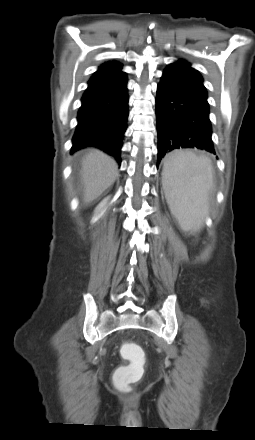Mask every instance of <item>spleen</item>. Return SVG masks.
<instances>
[{"label": "spleen", "mask_w": 255, "mask_h": 440, "mask_svg": "<svg viewBox=\"0 0 255 440\" xmlns=\"http://www.w3.org/2000/svg\"><path fill=\"white\" fill-rule=\"evenodd\" d=\"M162 184L171 213L185 231L199 229L208 213L213 186L211 160L188 150L167 155Z\"/></svg>", "instance_id": "obj_1"}]
</instances>
